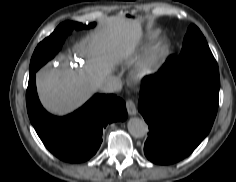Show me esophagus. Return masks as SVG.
Here are the masks:
<instances>
[{"label":"esophagus","mask_w":236,"mask_h":182,"mask_svg":"<svg viewBox=\"0 0 236 182\" xmlns=\"http://www.w3.org/2000/svg\"><path fill=\"white\" fill-rule=\"evenodd\" d=\"M126 109L129 115L134 116L137 114V108L132 100L126 101Z\"/></svg>","instance_id":"1"}]
</instances>
